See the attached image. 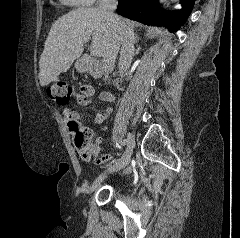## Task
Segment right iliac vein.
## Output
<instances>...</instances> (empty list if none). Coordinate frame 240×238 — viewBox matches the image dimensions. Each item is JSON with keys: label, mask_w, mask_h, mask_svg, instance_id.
Wrapping results in <instances>:
<instances>
[{"label": "right iliac vein", "mask_w": 240, "mask_h": 238, "mask_svg": "<svg viewBox=\"0 0 240 238\" xmlns=\"http://www.w3.org/2000/svg\"><path fill=\"white\" fill-rule=\"evenodd\" d=\"M127 149L123 155V157L117 161L115 164H113L112 166H110L107 169V173H113V172H117L119 170H121L122 168H124L128 162L130 161V157L133 151V148L135 146V141L134 138L131 134H128L127 137ZM106 173L100 175L91 185L90 187V192H93L94 190H96V188L101 184V182L103 181V179L105 178Z\"/></svg>", "instance_id": "63e3f726"}]
</instances>
